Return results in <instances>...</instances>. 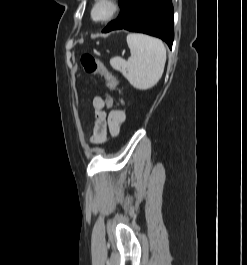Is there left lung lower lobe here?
I'll use <instances>...</instances> for the list:
<instances>
[{
	"label": "left lung lower lobe",
	"mask_w": 247,
	"mask_h": 265,
	"mask_svg": "<svg viewBox=\"0 0 247 265\" xmlns=\"http://www.w3.org/2000/svg\"><path fill=\"white\" fill-rule=\"evenodd\" d=\"M121 12L103 33L126 29L156 36L171 48L174 39L171 0H119Z\"/></svg>",
	"instance_id": "obj_1"
}]
</instances>
